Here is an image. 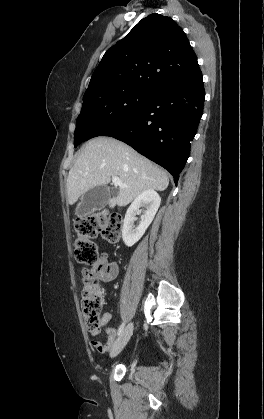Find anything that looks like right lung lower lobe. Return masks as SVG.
Instances as JSON below:
<instances>
[{"instance_id": "right-lung-lower-lobe-1", "label": "right lung lower lobe", "mask_w": 264, "mask_h": 419, "mask_svg": "<svg viewBox=\"0 0 264 419\" xmlns=\"http://www.w3.org/2000/svg\"><path fill=\"white\" fill-rule=\"evenodd\" d=\"M204 99L202 76L192 83L167 85L153 91L136 112L100 136L130 145L169 171L177 184L202 117Z\"/></svg>"}]
</instances>
